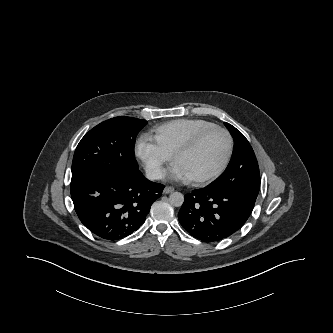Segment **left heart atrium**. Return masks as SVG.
<instances>
[{"instance_id": "obj_1", "label": "left heart atrium", "mask_w": 333, "mask_h": 333, "mask_svg": "<svg viewBox=\"0 0 333 333\" xmlns=\"http://www.w3.org/2000/svg\"><path fill=\"white\" fill-rule=\"evenodd\" d=\"M171 177L177 180H188L189 177L188 175L183 171V169L178 165L174 164L171 172H170Z\"/></svg>"}]
</instances>
